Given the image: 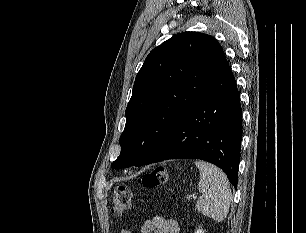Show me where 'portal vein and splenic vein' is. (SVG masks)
<instances>
[{"label": "portal vein and splenic vein", "instance_id": "18ae733b", "mask_svg": "<svg viewBox=\"0 0 306 233\" xmlns=\"http://www.w3.org/2000/svg\"><path fill=\"white\" fill-rule=\"evenodd\" d=\"M192 198L196 199V198H197V196H196V195H192Z\"/></svg>", "mask_w": 306, "mask_h": 233}]
</instances>
